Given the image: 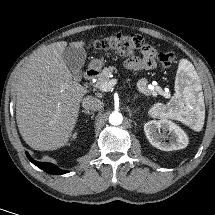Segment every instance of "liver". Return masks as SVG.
I'll list each match as a JSON object with an SVG mask.
<instances>
[{
  "mask_svg": "<svg viewBox=\"0 0 215 215\" xmlns=\"http://www.w3.org/2000/svg\"><path fill=\"white\" fill-rule=\"evenodd\" d=\"M85 43L72 42L73 47ZM60 41L35 51L16 77V120L24 141L35 150L65 146L75 128L86 87L72 80Z\"/></svg>",
  "mask_w": 215,
  "mask_h": 215,
  "instance_id": "obj_1",
  "label": "liver"
}]
</instances>
